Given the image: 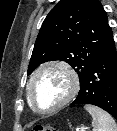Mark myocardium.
Returning <instances> with one entry per match:
<instances>
[{
  "label": "myocardium",
  "instance_id": "1",
  "mask_svg": "<svg viewBox=\"0 0 117 131\" xmlns=\"http://www.w3.org/2000/svg\"><path fill=\"white\" fill-rule=\"evenodd\" d=\"M49 69H59L67 75V77L69 79V91H68L67 95L64 97V99L61 100L57 105H55L54 107H52L50 109L43 110L38 107V105L34 99L33 84H34V81L36 80V78L43 71L49 70ZM79 87H80L79 76L76 73V71L73 68H71L68 64H66L65 62H61V61L47 62V63H44L41 66H39L34 71L32 76L30 77L28 85H27V98H28L31 108L35 112H37L39 114H50L55 111H58L59 109L63 108L65 105H67L76 96V94L78 93Z\"/></svg>",
  "mask_w": 117,
  "mask_h": 131
}]
</instances>
